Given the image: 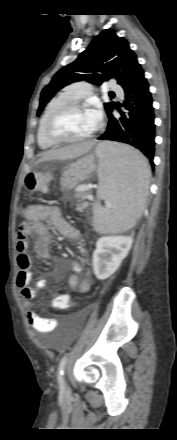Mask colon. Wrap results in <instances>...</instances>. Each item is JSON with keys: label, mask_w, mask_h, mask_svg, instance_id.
Returning a JSON list of instances; mask_svg holds the SVG:
<instances>
[{"label": "colon", "mask_w": 177, "mask_h": 440, "mask_svg": "<svg viewBox=\"0 0 177 440\" xmlns=\"http://www.w3.org/2000/svg\"><path fill=\"white\" fill-rule=\"evenodd\" d=\"M51 182V175L48 172L30 173L25 178L26 188L30 191L46 190ZM49 308L52 311H70L71 306L77 303L76 298H50Z\"/></svg>", "instance_id": "5ec220e1"}]
</instances>
